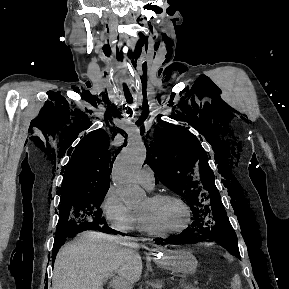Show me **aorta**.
Returning a JSON list of instances; mask_svg holds the SVG:
<instances>
[{
    "instance_id": "obj_1",
    "label": "aorta",
    "mask_w": 289,
    "mask_h": 289,
    "mask_svg": "<svg viewBox=\"0 0 289 289\" xmlns=\"http://www.w3.org/2000/svg\"><path fill=\"white\" fill-rule=\"evenodd\" d=\"M146 160V148L137 138L128 142L116 158L112 180L124 203L135 208L146 200V193L137 183V175Z\"/></svg>"
}]
</instances>
